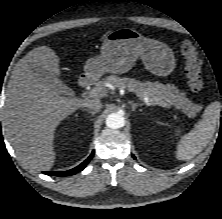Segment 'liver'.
Listing matches in <instances>:
<instances>
[{
    "label": "liver",
    "instance_id": "obj_1",
    "mask_svg": "<svg viewBox=\"0 0 222 219\" xmlns=\"http://www.w3.org/2000/svg\"><path fill=\"white\" fill-rule=\"evenodd\" d=\"M60 59L48 46L34 48L14 66L4 106L3 124L18 159L46 170L55 162L54 133L59 123L90 99L63 97L44 84L35 67L60 75Z\"/></svg>",
    "mask_w": 222,
    "mask_h": 219
}]
</instances>
